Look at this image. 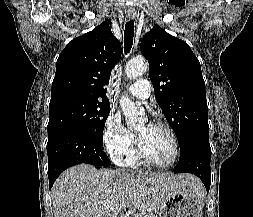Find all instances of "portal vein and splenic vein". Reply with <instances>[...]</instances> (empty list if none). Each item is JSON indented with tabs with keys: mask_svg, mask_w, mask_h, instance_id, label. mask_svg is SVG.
Instances as JSON below:
<instances>
[{
	"mask_svg": "<svg viewBox=\"0 0 253 217\" xmlns=\"http://www.w3.org/2000/svg\"><path fill=\"white\" fill-rule=\"evenodd\" d=\"M124 217H129V215H128V214H126Z\"/></svg>",
	"mask_w": 253,
	"mask_h": 217,
	"instance_id": "1",
	"label": "portal vein and splenic vein"
}]
</instances>
